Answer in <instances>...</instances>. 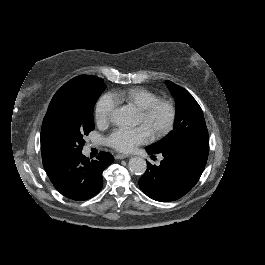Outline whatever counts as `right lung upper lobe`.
<instances>
[{
	"label": "right lung upper lobe",
	"instance_id": "cb5924a9",
	"mask_svg": "<svg viewBox=\"0 0 265 265\" xmlns=\"http://www.w3.org/2000/svg\"><path fill=\"white\" fill-rule=\"evenodd\" d=\"M53 99V98H52ZM52 101V100H51ZM43 161V165L44 167L48 166L51 164V162H48V161H45V160H42Z\"/></svg>",
	"mask_w": 265,
	"mask_h": 265
}]
</instances>
